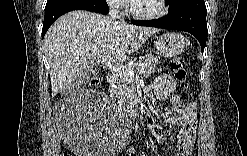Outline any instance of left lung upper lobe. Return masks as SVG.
Listing matches in <instances>:
<instances>
[{"label":"left lung upper lobe","mask_w":247,"mask_h":156,"mask_svg":"<svg viewBox=\"0 0 247 156\" xmlns=\"http://www.w3.org/2000/svg\"><path fill=\"white\" fill-rule=\"evenodd\" d=\"M184 0H168L169 10L178 7Z\"/></svg>","instance_id":"5c2ea615"}]
</instances>
